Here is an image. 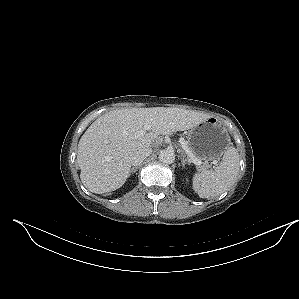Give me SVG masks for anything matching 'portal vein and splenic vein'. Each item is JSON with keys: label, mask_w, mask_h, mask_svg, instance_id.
I'll return each instance as SVG.
<instances>
[{"label": "portal vein and splenic vein", "mask_w": 299, "mask_h": 299, "mask_svg": "<svg viewBox=\"0 0 299 299\" xmlns=\"http://www.w3.org/2000/svg\"><path fill=\"white\" fill-rule=\"evenodd\" d=\"M149 129H150V126H149V125H146V126L143 127V129L137 131V132L135 133V135H136L137 137L143 136V135L146 133V131H148ZM181 146H182V149L184 150V152H185V153L187 154V156L189 157V160H190L192 163H194L195 165H201V163H202L201 160L195 158V157L192 155V153H191V151L189 150V148H188V146H187V144H186L185 141H181Z\"/></svg>", "instance_id": "18ae733b"}]
</instances>
